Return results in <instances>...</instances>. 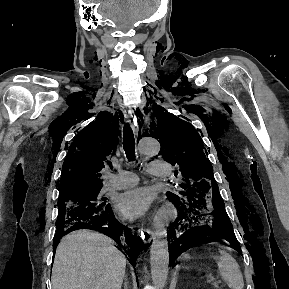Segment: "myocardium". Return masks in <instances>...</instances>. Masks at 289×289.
Listing matches in <instances>:
<instances>
[{
	"instance_id": "1",
	"label": "myocardium",
	"mask_w": 289,
	"mask_h": 289,
	"mask_svg": "<svg viewBox=\"0 0 289 289\" xmlns=\"http://www.w3.org/2000/svg\"><path fill=\"white\" fill-rule=\"evenodd\" d=\"M176 215V211L171 206H166L163 208V210L160 212L159 216L156 219V223L160 224L163 222H168L169 220L173 219Z\"/></svg>"
}]
</instances>
